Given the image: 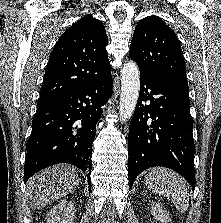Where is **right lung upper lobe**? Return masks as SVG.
I'll return each mask as SVG.
<instances>
[{
    "mask_svg": "<svg viewBox=\"0 0 221 223\" xmlns=\"http://www.w3.org/2000/svg\"><path fill=\"white\" fill-rule=\"evenodd\" d=\"M103 23L87 15L58 39L51 53L39 102L68 93L110 70Z\"/></svg>",
    "mask_w": 221,
    "mask_h": 223,
    "instance_id": "cb5924a9",
    "label": "right lung upper lobe"
}]
</instances>
